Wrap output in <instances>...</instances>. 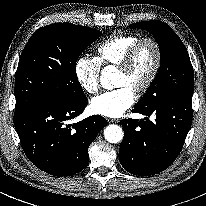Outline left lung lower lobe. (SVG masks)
<instances>
[{
    "label": "left lung lower lobe",
    "mask_w": 206,
    "mask_h": 206,
    "mask_svg": "<svg viewBox=\"0 0 206 206\" xmlns=\"http://www.w3.org/2000/svg\"><path fill=\"white\" fill-rule=\"evenodd\" d=\"M144 119L122 120L124 138L119 160L134 175H153L167 169L179 155L192 123V96L163 99L134 107ZM155 115V120L149 119Z\"/></svg>",
    "instance_id": "1"
}]
</instances>
